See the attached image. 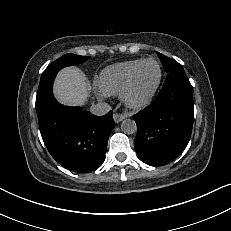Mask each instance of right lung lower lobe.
<instances>
[{
  "label": "right lung lower lobe",
  "instance_id": "1",
  "mask_svg": "<svg viewBox=\"0 0 231 231\" xmlns=\"http://www.w3.org/2000/svg\"><path fill=\"white\" fill-rule=\"evenodd\" d=\"M57 73L40 80L36 111L45 145L63 167L79 173L94 171L104 161L109 135L115 127L112 111L95 116L80 107L59 104L52 94Z\"/></svg>",
  "mask_w": 231,
  "mask_h": 231
}]
</instances>
